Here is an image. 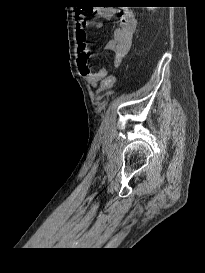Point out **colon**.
<instances>
[{
	"mask_svg": "<svg viewBox=\"0 0 205 273\" xmlns=\"http://www.w3.org/2000/svg\"><path fill=\"white\" fill-rule=\"evenodd\" d=\"M115 82V77L114 76H108L102 83V89L107 90L109 89L113 83Z\"/></svg>",
	"mask_w": 205,
	"mask_h": 273,
	"instance_id": "1",
	"label": "colon"
}]
</instances>
